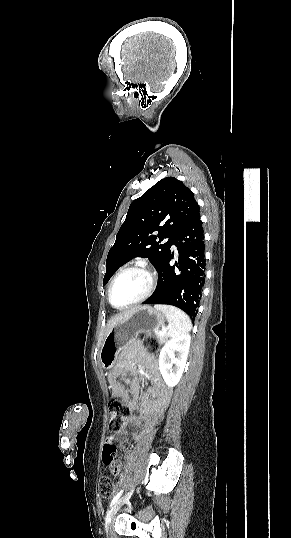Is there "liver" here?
<instances>
[{
  "label": "liver",
  "instance_id": "liver-1",
  "mask_svg": "<svg viewBox=\"0 0 291 538\" xmlns=\"http://www.w3.org/2000/svg\"><path fill=\"white\" fill-rule=\"evenodd\" d=\"M139 307H136V308H132L130 310H127L125 312H122L116 316H113L112 318H110L107 322V325H106V336L107 334L117 325L119 324L120 322H122L123 320H125L128 316H130L134 311H136Z\"/></svg>",
  "mask_w": 291,
  "mask_h": 538
}]
</instances>
